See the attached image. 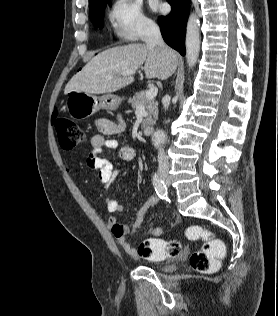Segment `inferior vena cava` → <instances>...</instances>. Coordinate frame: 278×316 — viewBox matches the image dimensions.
Here are the masks:
<instances>
[{"label":"inferior vena cava","instance_id":"obj_1","mask_svg":"<svg viewBox=\"0 0 278 316\" xmlns=\"http://www.w3.org/2000/svg\"><path fill=\"white\" fill-rule=\"evenodd\" d=\"M143 40L148 46H159L160 48L168 51V47L165 45L160 29L156 23L153 21H148L143 26ZM164 109H168L169 101L164 98L163 101ZM158 169L160 172L169 171L168 159L165 155L164 149L160 148L158 152Z\"/></svg>","mask_w":278,"mask_h":316}]
</instances>
